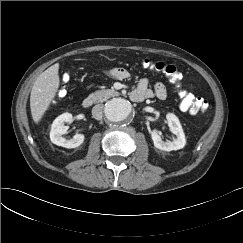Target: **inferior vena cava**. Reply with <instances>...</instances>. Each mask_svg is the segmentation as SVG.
Instances as JSON below:
<instances>
[{
	"mask_svg": "<svg viewBox=\"0 0 243 243\" xmlns=\"http://www.w3.org/2000/svg\"><path fill=\"white\" fill-rule=\"evenodd\" d=\"M92 115L95 119H101L103 115V105L97 104L92 109Z\"/></svg>",
	"mask_w": 243,
	"mask_h": 243,
	"instance_id": "inferior-vena-cava-1",
	"label": "inferior vena cava"
}]
</instances>
